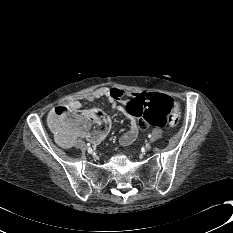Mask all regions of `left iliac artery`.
<instances>
[{
    "instance_id": "1",
    "label": "left iliac artery",
    "mask_w": 233,
    "mask_h": 233,
    "mask_svg": "<svg viewBox=\"0 0 233 233\" xmlns=\"http://www.w3.org/2000/svg\"><path fill=\"white\" fill-rule=\"evenodd\" d=\"M148 138H150V139H151V138H152V135H151V134H149V135H148Z\"/></svg>"
}]
</instances>
